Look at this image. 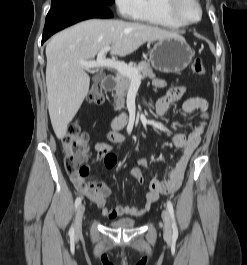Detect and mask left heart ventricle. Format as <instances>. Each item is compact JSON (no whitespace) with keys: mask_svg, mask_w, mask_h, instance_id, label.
I'll use <instances>...</instances> for the list:
<instances>
[{"mask_svg":"<svg viewBox=\"0 0 247 265\" xmlns=\"http://www.w3.org/2000/svg\"><path fill=\"white\" fill-rule=\"evenodd\" d=\"M181 11L183 16L188 20H194L198 17V9L190 0H186L183 3Z\"/></svg>","mask_w":247,"mask_h":265,"instance_id":"left-heart-ventricle-1","label":"left heart ventricle"}]
</instances>
